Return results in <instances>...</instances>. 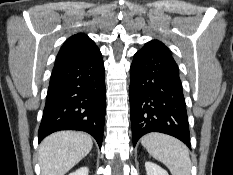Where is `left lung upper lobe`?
Listing matches in <instances>:
<instances>
[{
    "mask_svg": "<svg viewBox=\"0 0 233 175\" xmlns=\"http://www.w3.org/2000/svg\"><path fill=\"white\" fill-rule=\"evenodd\" d=\"M147 44H149L153 47L159 48L171 56L170 50L162 42H160L158 40H152V41L148 42Z\"/></svg>",
    "mask_w": 233,
    "mask_h": 175,
    "instance_id": "1",
    "label": "left lung upper lobe"
}]
</instances>
